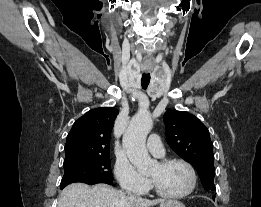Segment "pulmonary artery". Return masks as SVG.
Segmentation results:
<instances>
[{"label": "pulmonary artery", "instance_id": "1", "mask_svg": "<svg viewBox=\"0 0 261 207\" xmlns=\"http://www.w3.org/2000/svg\"><path fill=\"white\" fill-rule=\"evenodd\" d=\"M147 148H148L149 152L151 154H153L154 156H157V157L164 156L165 152H164L163 145L160 141V138L155 134H152L149 136V138L147 140Z\"/></svg>", "mask_w": 261, "mask_h": 207}]
</instances>
